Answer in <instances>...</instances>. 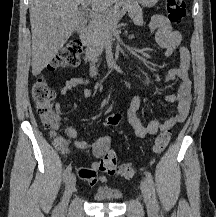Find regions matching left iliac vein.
I'll list each match as a JSON object with an SVG mask.
<instances>
[{
  "instance_id": "4c4485c4",
  "label": "left iliac vein",
  "mask_w": 216,
  "mask_h": 217,
  "mask_svg": "<svg viewBox=\"0 0 216 217\" xmlns=\"http://www.w3.org/2000/svg\"><path fill=\"white\" fill-rule=\"evenodd\" d=\"M140 189H141V192H142V195H143L144 202L146 204L147 210L149 212H153L154 204H153L151 193H150V190H149V187H148L146 181L141 182Z\"/></svg>"
}]
</instances>
